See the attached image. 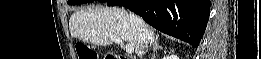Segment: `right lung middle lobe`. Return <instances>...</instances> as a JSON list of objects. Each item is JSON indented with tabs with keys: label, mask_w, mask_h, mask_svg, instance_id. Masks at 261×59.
<instances>
[{
	"label": "right lung middle lobe",
	"mask_w": 261,
	"mask_h": 59,
	"mask_svg": "<svg viewBox=\"0 0 261 59\" xmlns=\"http://www.w3.org/2000/svg\"><path fill=\"white\" fill-rule=\"evenodd\" d=\"M94 0H70L68 4L75 5V4H83V3H91ZM100 2H105L106 0H99Z\"/></svg>",
	"instance_id": "obj_1"
}]
</instances>
